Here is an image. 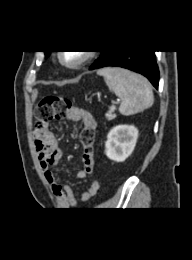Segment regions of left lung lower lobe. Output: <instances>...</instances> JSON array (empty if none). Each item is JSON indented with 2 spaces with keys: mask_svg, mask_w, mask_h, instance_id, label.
Segmentation results:
<instances>
[{
  "mask_svg": "<svg viewBox=\"0 0 192 260\" xmlns=\"http://www.w3.org/2000/svg\"><path fill=\"white\" fill-rule=\"evenodd\" d=\"M107 66L122 67L138 72L147 77L155 88H158L159 70L154 50L101 51L100 57L90 66V70Z\"/></svg>",
  "mask_w": 192,
  "mask_h": 260,
  "instance_id": "left-lung-lower-lobe-1",
  "label": "left lung lower lobe"
}]
</instances>
